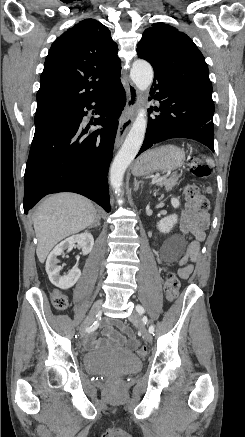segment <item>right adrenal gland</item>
Returning a JSON list of instances; mask_svg holds the SVG:
<instances>
[{
  "label": "right adrenal gland",
  "instance_id": "obj_1",
  "mask_svg": "<svg viewBox=\"0 0 245 437\" xmlns=\"http://www.w3.org/2000/svg\"><path fill=\"white\" fill-rule=\"evenodd\" d=\"M100 219H101L100 216L97 215L95 222L92 225H90L89 228H93V227L99 226L100 225Z\"/></svg>",
  "mask_w": 245,
  "mask_h": 437
}]
</instances>
